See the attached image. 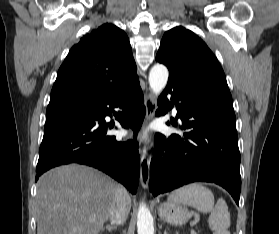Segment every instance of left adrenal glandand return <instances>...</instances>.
<instances>
[{
	"label": "left adrenal gland",
	"mask_w": 279,
	"mask_h": 234,
	"mask_svg": "<svg viewBox=\"0 0 279 234\" xmlns=\"http://www.w3.org/2000/svg\"><path fill=\"white\" fill-rule=\"evenodd\" d=\"M164 234H167L166 230L164 231Z\"/></svg>",
	"instance_id": "obj_1"
}]
</instances>
